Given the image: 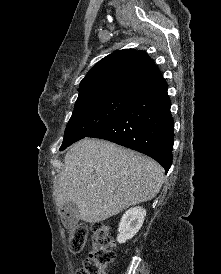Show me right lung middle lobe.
I'll use <instances>...</instances> for the list:
<instances>
[{
    "instance_id": "dd1d6c3e",
    "label": "right lung middle lobe",
    "mask_w": 221,
    "mask_h": 274,
    "mask_svg": "<svg viewBox=\"0 0 221 274\" xmlns=\"http://www.w3.org/2000/svg\"><path fill=\"white\" fill-rule=\"evenodd\" d=\"M132 99L122 97H93L77 100L67 124L63 143L64 150L72 143L88 137L121 112Z\"/></svg>"
}]
</instances>
